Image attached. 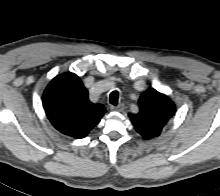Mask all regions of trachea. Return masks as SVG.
<instances>
[{
	"mask_svg": "<svg viewBox=\"0 0 220 196\" xmlns=\"http://www.w3.org/2000/svg\"><path fill=\"white\" fill-rule=\"evenodd\" d=\"M119 93L117 91H113L110 93L109 101L112 105L116 106L118 104Z\"/></svg>",
	"mask_w": 220,
	"mask_h": 196,
	"instance_id": "1",
	"label": "trachea"
}]
</instances>
